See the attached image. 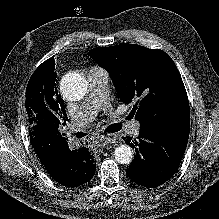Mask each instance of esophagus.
<instances>
[{"label": "esophagus", "instance_id": "obj_1", "mask_svg": "<svg viewBox=\"0 0 219 219\" xmlns=\"http://www.w3.org/2000/svg\"><path fill=\"white\" fill-rule=\"evenodd\" d=\"M116 141V137L114 135H101L99 136V142L102 145H107L114 143Z\"/></svg>", "mask_w": 219, "mask_h": 219}]
</instances>
